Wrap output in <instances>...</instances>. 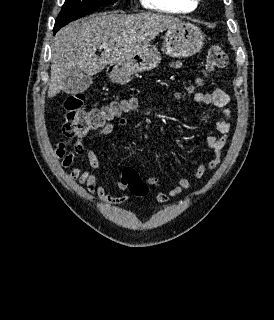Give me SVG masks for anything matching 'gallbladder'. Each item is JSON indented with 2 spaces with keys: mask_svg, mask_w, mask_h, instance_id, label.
I'll use <instances>...</instances> for the list:
<instances>
[{
  "mask_svg": "<svg viewBox=\"0 0 274 320\" xmlns=\"http://www.w3.org/2000/svg\"><path fill=\"white\" fill-rule=\"evenodd\" d=\"M90 72L86 68H69L65 72L64 94L65 95H81L84 90H88L93 84Z\"/></svg>",
  "mask_w": 274,
  "mask_h": 320,
  "instance_id": "gallbladder-1",
  "label": "gallbladder"
}]
</instances>
